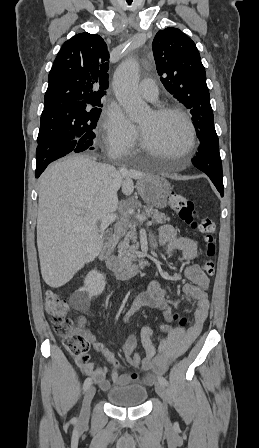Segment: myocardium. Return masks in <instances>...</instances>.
Segmentation results:
<instances>
[{
	"mask_svg": "<svg viewBox=\"0 0 259 448\" xmlns=\"http://www.w3.org/2000/svg\"><path fill=\"white\" fill-rule=\"evenodd\" d=\"M152 112L155 116H163L165 114H175L179 116L186 124L188 130V136L185 143L179 148V157L185 162H188L192 156V149L195 144L196 130L195 126L188 116V114L179 106L173 104H159L153 107ZM141 138V147L144 151L155 153L157 151L148 141L144 138L140 129H138Z\"/></svg>",
	"mask_w": 259,
	"mask_h": 448,
	"instance_id": "obj_1",
	"label": "myocardium"
}]
</instances>
